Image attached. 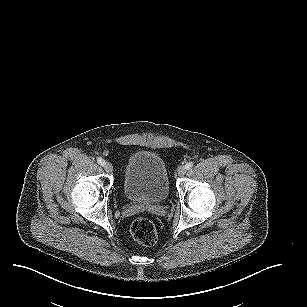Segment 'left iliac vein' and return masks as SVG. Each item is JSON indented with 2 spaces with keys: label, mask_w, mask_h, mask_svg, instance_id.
Masks as SVG:
<instances>
[{
  "label": "left iliac vein",
  "mask_w": 307,
  "mask_h": 307,
  "mask_svg": "<svg viewBox=\"0 0 307 307\" xmlns=\"http://www.w3.org/2000/svg\"><path fill=\"white\" fill-rule=\"evenodd\" d=\"M186 167L185 166H179L177 169V174L179 176H183L186 173Z\"/></svg>",
  "instance_id": "left-iliac-vein-1"
}]
</instances>
